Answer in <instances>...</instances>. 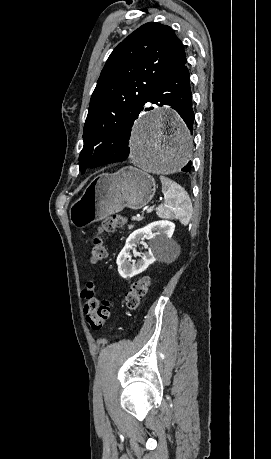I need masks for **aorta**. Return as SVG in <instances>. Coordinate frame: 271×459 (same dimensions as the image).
<instances>
[{
	"mask_svg": "<svg viewBox=\"0 0 271 459\" xmlns=\"http://www.w3.org/2000/svg\"><path fill=\"white\" fill-rule=\"evenodd\" d=\"M193 141L178 118L156 109L140 118L131 140V160L145 173L179 171L192 157Z\"/></svg>",
	"mask_w": 271,
	"mask_h": 459,
	"instance_id": "aorta-1",
	"label": "aorta"
}]
</instances>
